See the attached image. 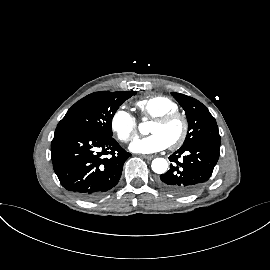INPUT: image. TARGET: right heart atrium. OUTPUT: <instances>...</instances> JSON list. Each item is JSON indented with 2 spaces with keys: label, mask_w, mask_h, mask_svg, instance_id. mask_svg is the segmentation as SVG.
<instances>
[{
  "label": "right heart atrium",
  "mask_w": 270,
  "mask_h": 270,
  "mask_svg": "<svg viewBox=\"0 0 270 270\" xmlns=\"http://www.w3.org/2000/svg\"><path fill=\"white\" fill-rule=\"evenodd\" d=\"M110 127L121 142L130 141L138 130L136 118L125 108L116 109L110 119Z\"/></svg>",
  "instance_id": "d8ad5b80"
}]
</instances>
